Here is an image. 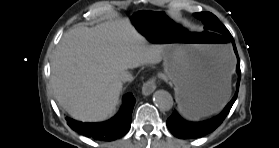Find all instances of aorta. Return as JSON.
<instances>
[{
	"mask_svg": "<svg viewBox=\"0 0 279 148\" xmlns=\"http://www.w3.org/2000/svg\"><path fill=\"white\" fill-rule=\"evenodd\" d=\"M153 102L162 111H168L173 106V98L168 91L157 90L153 95Z\"/></svg>",
	"mask_w": 279,
	"mask_h": 148,
	"instance_id": "aorta-1",
	"label": "aorta"
}]
</instances>
